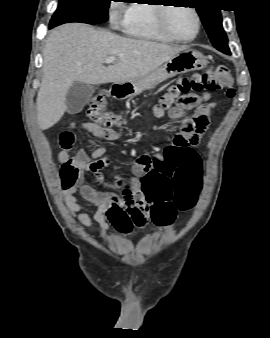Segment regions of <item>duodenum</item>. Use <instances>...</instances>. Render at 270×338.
I'll list each match as a JSON object with an SVG mask.
<instances>
[{"instance_id": "obj_1", "label": "duodenum", "mask_w": 270, "mask_h": 338, "mask_svg": "<svg viewBox=\"0 0 270 338\" xmlns=\"http://www.w3.org/2000/svg\"><path fill=\"white\" fill-rule=\"evenodd\" d=\"M126 94V89L122 85H116L110 90V95L114 99H122Z\"/></svg>"}]
</instances>
